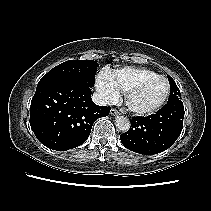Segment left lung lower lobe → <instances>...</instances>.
<instances>
[{
    "instance_id": "0a47b994",
    "label": "left lung lower lobe",
    "mask_w": 211,
    "mask_h": 211,
    "mask_svg": "<svg viewBox=\"0 0 211 211\" xmlns=\"http://www.w3.org/2000/svg\"><path fill=\"white\" fill-rule=\"evenodd\" d=\"M184 106L181 100L168 102L147 117H133L130 129L121 134L122 144L144 155L161 153L172 146L183 128Z\"/></svg>"
}]
</instances>
